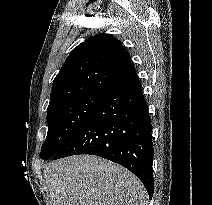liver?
Listing matches in <instances>:
<instances>
[{
  "label": "liver",
  "instance_id": "1",
  "mask_svg": "<svg viewBox=\"0 0 212 205\" xmlns=\"http://www.w3.org/2000/svg\"><path fill=\"white\" fill-rule=\"evenodd\" d=\"M44 178L51 205H145L147 191L124 167L92 155L51 162Z\"/></svg>",
  "mask_w": 212,
  "mask_h": 205
}]
</instances>
